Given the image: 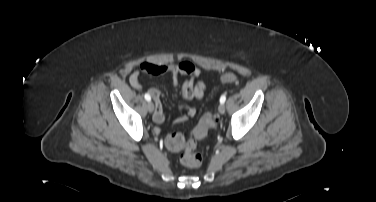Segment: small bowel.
<instances>
[{
	"label": "small bowel",
	"instance_id": "c3829d8e",
	"mask_svg": "<svg viewBox=\"0 0 376 202\" xmlns=\"http://www.w3.org/2000/svg\"><path fill=\"white\" fill-rule=\"evenodd\" d=\"M169 73L172 76L174 85H179L181 95L184 100L201 101L205 93V82L200 78L201 71L190 62H180L178 64H159L153 62H142L139 68L129 76V82L135 89H141L139 77L141 74L162 75ZM185 76L186 79L180 81V77ZM148 93L155 102L153 120L157 124L163 123L165 116L161 102V92L157 88H150ZM179 112L182 114L175 118L176 123H181L193 117L197 112L196 105H181Z\"/></svg>",
	"mask_w": 376,
	"mask_h": 202
}]
</instances>
